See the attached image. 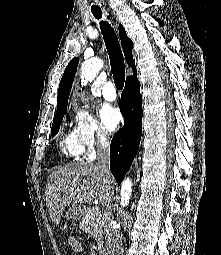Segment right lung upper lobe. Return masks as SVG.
I'll list each match as a JSON object with an SVG mask.
<instances>
[{
	"instance_id": "right-lung-upper-lobe-1",
	"label": "right lung upper lobe",
	"mask_w": 221,
	"mask_h": 255,
	"mask_svg": "<svg viewBox=\"0 0 221 255\" xmlns=\"http://www.w3.org/2000/svg\"><path fill=\"white\" fill-rule=\"evenodd\" d=\"M119 36L123 48V52L126 61L129 66L133 68L134 73L136 72L135 61L132 56V40L127 37L126 31L122 25H119ZM79 58H74L67 65L62 79L59 84L58 97H57V111L56 113L66 111L69 93L72 87L74 76L77 70Z\"/></svg>"
}]
</instances>
